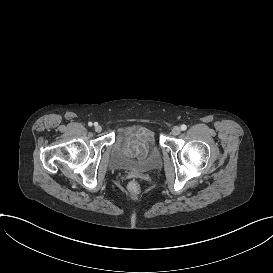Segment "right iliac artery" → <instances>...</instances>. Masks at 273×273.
I'll return each mask as SVG.
<instances>
[{
	"mask_svg": "<svg viewBox=\"0 0 273 273\" xmlns=\"http://www.w3.org/2000/svg\"><path fill=\"white\" fill-rule=\"evenodd\" d=\"M95 124H97V123H94V125H95ZM92 125H93V123H92V122H89V123H88V126H90V127H91Z\"/></svg>",
	"mask_w": 273,
	"mask_h": 273,
	"instance_id": "82829eb1",
	"label": "right iliac artery"
}]
</instances>
